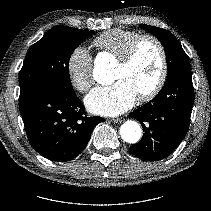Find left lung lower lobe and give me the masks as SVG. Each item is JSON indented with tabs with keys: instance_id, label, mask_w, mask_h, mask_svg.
<instances>
[{
	"instance_id": "obj_1",
	"label": "left lung lower lobe",
	"mask_w": 211,
	"mask_h": 211,
	"mask_svg": "<svg viewBox=\"0 0 211 211\" xmlns=\"http://www.w3.org/2000/svg\"><path fill=\"white\" fill-rule=\"evenodd\" d=\"M191 68L167 77L158 95L129 114L140 121L141 141L130 147L136 157L157 161L169 156L187 134L194 102Z\"/></svg>"
}]
</instances>
